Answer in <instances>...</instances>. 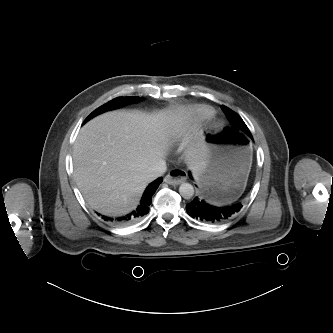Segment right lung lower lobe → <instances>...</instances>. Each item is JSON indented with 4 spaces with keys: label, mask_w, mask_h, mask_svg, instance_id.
I'll return each mask as SVG.
<instances>
[{
    "label": "right lung lower lobe",
    "mask_w": 333,
    "mask_h": 333,
    "mask_svg": "<svg viewBox=\"0 0 333 333\" xmlns=\"http://www.w3.org/2000/svg\"><path fill=\"white\" fill-rule=\"evenodd\" d=\"M163 179L158 178L152 183L148 185L146 188L143 197L141 199L140 205L137 207L136 210L131 212L130 214L124 216V217H119V218H110L107 216H102V218L105 221H109L115 224H120V225H126L132 222H135L137 219L141 218L145 214L149 212V207L152 201V196L155 193L156 189L162 183Z\"/></svg>",
    "instance_id": "obj_1"
}]
</instances>
